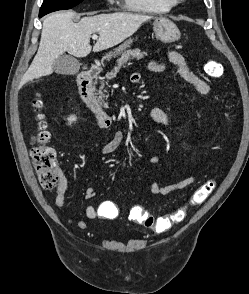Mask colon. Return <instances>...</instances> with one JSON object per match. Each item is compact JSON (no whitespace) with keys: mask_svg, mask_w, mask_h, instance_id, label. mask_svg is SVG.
I'll list each match as a JSON object with an SVG mask.
<instances>
[{"mask_svg":"<svg viewBox=\"0 0 249 294\" xmlns=\"http://www.w3.org/2000/svg\"><path fill=\"white\" fill-rule=\"evenodd\" d=\"M204 71L208 76L213 78H219L223 75L222 67L214 61H207L204 64ZM33 107L35 109L36 119L38 121L37 132L33 135L32 138L33 148L31 151V157L35 171L39 183L43 188H59L64 183V175L57 167L55 150L50 145H48L50 134L45 129V123L42 120V115L40 113L42 108V101L40 99H35L33 101ZM215 187L216 181L214 179L205 181L192 194L187 205L181 206L168 215L154 217L143 207L136 205L130 210L129 217L132 221L156 232L167 231L172 226L183 221L186 216L187 207L189 205L195 206L202 203L211 195ZM110 215L112 217H117V210L111 209Z\"/></svg>","mask_w":249,"mask_h":294,"instance_id":"obj_1","label":"colon"}]
</instances>
